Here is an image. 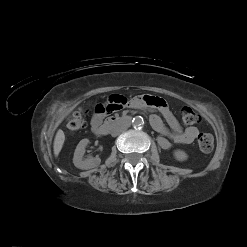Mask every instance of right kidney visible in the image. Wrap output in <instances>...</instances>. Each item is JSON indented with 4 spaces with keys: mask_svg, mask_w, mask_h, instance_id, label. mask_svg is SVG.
<instances>
[{
    "mask_svg": "<svg viewBox=\"0 0 247 247\" xmlns=\"http://www.w3.org/2000/svg\"><path fill=\"white\" fill-rule=\"evenodd\" d=\"M88 143H89L88 139H82L77 145L74 152L73 163L75 167L82 170H88L97 167L100 165L101 162V159L99 157L83 159L85 153V147L87 146Z\"/></svg>",
    "mask_w": 247,
    "mask_h": 247,
    "instance_id": "right-kidney-1",
    "label": "right kidney"
}]
</instances>
